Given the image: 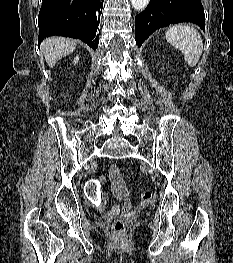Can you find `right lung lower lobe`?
I'll use <instances>...</instances> for the list:
<instances>
[{
  "label": "right lung lower lobe",
  "instance_id": "right-lung-lower-lobe-1",
  "mask_svg": "<svg viewBox=\"0 0 233 263\" xmlns=\"http://www.w3.org/2000/svg\"><path fill=\"white\" fill-rule=\"evenodd\" d=\"M102 8L103 0H43L38 17V45L46 37L60 35L81 39L95 50Z\"/></svg>",
  "mask_w": 233,
  "mask_h": 263
}]
</instances>
